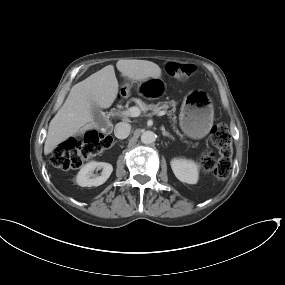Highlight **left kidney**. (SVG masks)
Here are the masks:
<instances>
[{
    "label": "left kidney",
    "instance_id": "5707ae66",
    "mask_svg": "<svg viewBox=\"0 0 285 285\" xmlns=\"http://www.w3.org/2000/svg\"><path fill=\"white\" fill-rule=\"evenodd\" d=\"M173 173L181 182L196 184L198 181V165L182 158H174L170 162Z\"/></svg>",
    "mask_w": 285,
    "mask_h": 285
}]
</instances>
